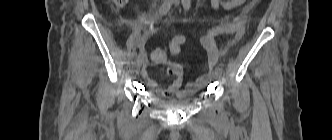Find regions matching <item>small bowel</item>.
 I'll return each instance as SVG.
<instances>
[{"label":"small bowel","instance_id":"obj_1","mask_svg":"<svg viewBox=\"0 0 332 140\" xmlns=\"http://www.w3.org/2000/svg\"><path fill=\"white\" fill-rule=\"evenodd\" d=\"M246 0H211L210 9L216 10L219 7L224 9H235L242 4H244ZM245 31V24L244 22H240L237 26V32L235 39L231 46L235 45L242 37ZM187 41V36L180 34L175 36L169 43V51L173 55H178L181 50L182 46ZM200 44L204 48L207 54V72L201 75L197 80L188 83L184 88L181 87L182 85V67L179 64H171L168 68V73L174 77V80L171 84L167 86H162L158 84L155 80H153L147 71L148 63L145 62L142 69V76L147 84V86L152 89L158 96L161 97H168L171 95H175L177 98H183L194 94L205 85L208 84L211 78V70L214 66L218 63L220 57L225 54L229 48L225 49L224 51L220 52L216 49L212 36H203L200 38ZM156 50L152 52V60L153 62L160 64L163 62H159L155 58Z\"/></svg>","mask_w":332,"mask_h":140}]
</instances>
